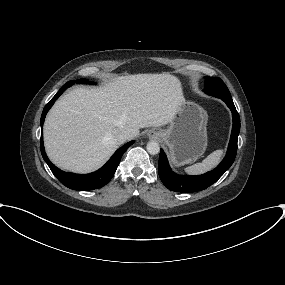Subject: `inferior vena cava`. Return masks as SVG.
<instances>
[{"instance_id":"1","label":"inferior vena cava","mask_w":285,"mask_h":285,"mask_svg":"<svg viewBox=\"0 0 285 285\" xmlns=\"http://www.w3.org/2000/svg\"><path fill=\"white\" fill-rule=\"evenodd\" d=\"M112 138L115 143L120 145L129 139V134L125 130H119L113 134Z\"/></svg>"}]
</instances>
